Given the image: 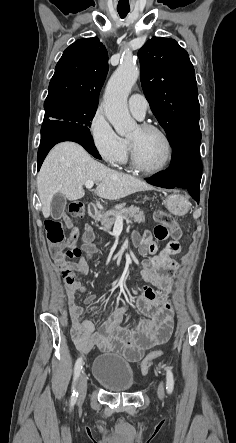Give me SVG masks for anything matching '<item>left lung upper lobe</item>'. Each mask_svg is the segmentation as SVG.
Here are the masks:
<instances>
[{
	"label": "left lung upper lobe",
	"instance_id": "left-lung-upper-lobe-1",
	"mask_svg": "<svg viewBox=\"0 0 236 443\" xmlns=\"http://www.w3.org/2000/svg\"><path fill=\"white\" fill-rule=\"evenodd\" d=\"M138 57L144 94L171 145L200 131L197 83L187 51L174 39L153 37Z\"/></svg>",
	"mask_w": 236,
	"mask_h": 443
}]
</instances>
